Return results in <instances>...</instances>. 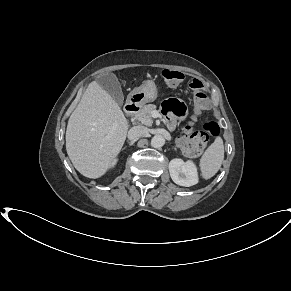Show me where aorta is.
I'll return each mask as SVG.
<instances>
[{"label":"aorta","instance_id":"762f6f07","mask_svg":"<svg viewBox=\"0 0 291 291\" xmlns=\"http://www.w3.org/2000/svg\"><path fill=\"white\" fill-rule=\"evenodd\" d=\"M165 144V139L163 136L161 135H155L152 139H151V146L154 148H160Z\"/></svg>","mask_w":291,"mask_h":291}]
</instances>
